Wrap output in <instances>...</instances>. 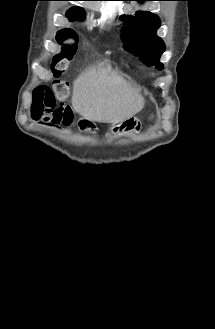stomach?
<instances>
[{
    "label": "stomach",
    "instance_id": "0dacf381",
    "mask_svg": "<svg viewBox=\"0 0 215 329\" xmlns=\"http://www.w3.org/2000/svg\"><path fill=\"white\" fill-rule=\"evenodd\" d=\"M140 129L141 124L136 117H130L124 121L112 123L111 125V132L113 134L138 133Z\"/></svg>",
    "mask_w": 215,
    "mask_h": 329
}]
</instances>
